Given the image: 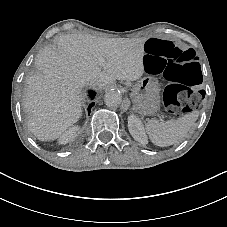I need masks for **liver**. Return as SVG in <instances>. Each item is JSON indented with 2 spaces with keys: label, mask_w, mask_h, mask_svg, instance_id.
I'll return each instance as SVG.
<instances>
[{
  "label": "liver",
  "mask_w": 227,
  "mask_h": 227,
  "mask_svg": "<svg viewBox=\"0 0 227 227\" xmlns=\"http://www.w3.org/2000/svg\"><path fill=\"white\" fill-rule=\"evenodd\" d=\"M146 40L60 36L56 48H45L37 56L38 72L25 79L29 131L40 141L55 140L81 117L85 86L109 89L116 80H138L144 73Z\"/></svg>",
  "instance_id": "liver-1"
}]
</instances>
